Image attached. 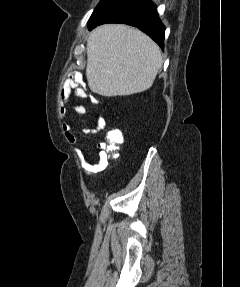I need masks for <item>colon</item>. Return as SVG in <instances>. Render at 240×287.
I'll return each instance as SVG.
<instances>
[{"instance_id":"5ec220e1","label":"colon","mask_w":240,"mask_h":287,"mask_svg":"<svg viewBox=\"0 0 240 287\" xmlns=\"http://www.w3.org/2000/svg\"><path fill=\"white\" fill-rule=\"evenodd\" d=\"M108 150L114 153L121 144L124 142V135L118 129L110 130L107 133Z\"/></svg>"}]
</instances>
